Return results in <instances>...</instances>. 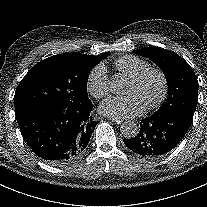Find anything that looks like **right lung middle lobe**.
Wrapping results in <instances>:
<instances>
[{
    "label": "right lung middle lobe",
    "instance_id": "1",
    "mask_svg": "<svg viewBox=\"0 0 207 207\" xmlns=\"http://www.w3.org/2000/svg\"><path fill=\"white\" fill-rule=\"evenodd\" d=\"M92 68L64 55L37 63L16 90L15 116L43 107L72 109L91 103L87 95V81Z\"/></svg>",
    "mask_w": 207,
    "mask_h": 207
}]
</instances>
